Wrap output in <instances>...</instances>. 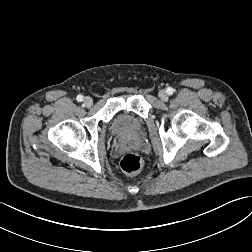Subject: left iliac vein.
<instances>
[{"label":"left iliac vein","mask_w":252,"mask_h":252,"mask_svg":"<svg viewBox=\"0 0 252 252\" xmlns=\"http://www.w3.org/2000/svg\"><path fill=\"white\" fill-rule=\"evenodd\" d=\"M159 98L162 100V101H167L168 100V94L165 90H161L159 91Z\"/></svg>","instance_id":"obj_1"}]
</instances>
